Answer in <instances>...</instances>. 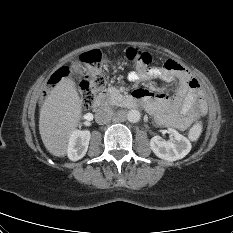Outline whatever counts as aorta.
Returning a JSON list of instances; mask_svg holds the SVG:
<instances>
[{"label": "aorta", "instance_id": "1", "mask_svg": "<svg viewBox=\"0 0 233 233\" xmlns=\"http://www.w3.org/2000/svg\"><path fill=\"white\" fill-rule=\"evenodd\" d=\"M127 120L131 123H136L140 120L141 114L138 110L136 109H131L128 111L127 115Z\"/></svg>", "mask_w": 233, "mask_h": 233}]
</instances>
